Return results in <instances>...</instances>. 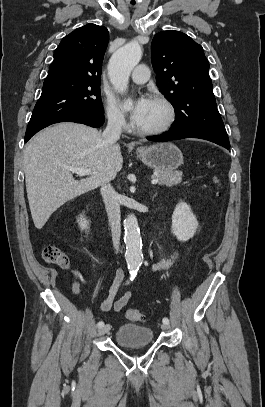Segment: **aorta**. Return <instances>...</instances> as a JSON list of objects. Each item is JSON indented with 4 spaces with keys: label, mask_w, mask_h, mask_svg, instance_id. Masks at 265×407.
Here are the masks:
<instances>
[{
    "label": "aorta",
    "mask_w": 265,
    "mask_h": 407,
    "mask_svg": "<svg viewBox=\"0 0 265 407\" xmlns=\"http://www.w3.org/2000/svg\"><path fill=\"white\" fill-rule=\"evenodd\" d=\"M142 57L141 46L136 41H132L118 49L111 57L108 64V74L114 89L118 93H125L131 71L139 63ZM130 101H126V105ZM124 241L126 245L125 260L131 275L137 273L141 266L142 239L137 218L134 214H129L124 220Z\"/></svg>",
    "instance_id": "1"
}]
</instances>
